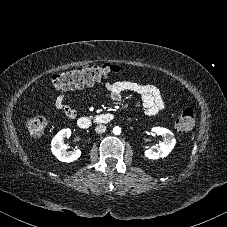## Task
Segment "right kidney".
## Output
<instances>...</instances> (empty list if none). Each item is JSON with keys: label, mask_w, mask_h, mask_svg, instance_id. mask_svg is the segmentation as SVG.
Segmentation results:
<instances>
[{"label": "right kidney", "mask_w": 227, "mask_h": 227, "mask_svg": "<svg viewBox=\"0 0 227 227\" xmlns=\"http://www.w3.org/2000/svg\"><path fill=\"white\" fill-rule=\"evenodd\" d=\"M70 135V129H62L55 135L51 142L52 153L62 162H73L81 156V151L79 149L67 151L66 145L63 144L64 138H69Z\"/></svg>", "instance_id": "right-kidney-1"}]
</instances>
